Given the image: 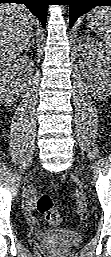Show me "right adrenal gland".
<instances>
[{"label":"right adrenal gland","mask_w":111,"mask_h":257,"mask_svg":"<svg viewBox=\"0 0 111 257\" xmlns=\"http://www.w3.org/2000/svg\"><path fill=\"white\" fill-rule=\"evenodd\" d=\"M34 38L32 37L29 44L27 45V47L25 48V51H28L30 47L34 48Z\"/></svg>","instance_id":"1"}]
</instances>
